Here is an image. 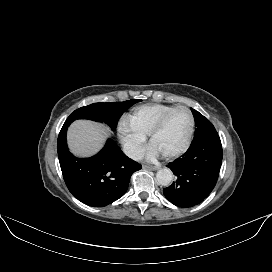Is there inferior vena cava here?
Listing matches in <instances>:
<instances>
[{
	"label": "inferior vena cava",
	"mask_w": 272,
	"mask_h": 272,
	"mask_svg": "<svg viewBox=\"0 0 272 272\" xmlns=\"http://www.w3.org/2000/svg\"><path fill=\"white\" fill-rule=\"evenodd\" d=\"M123 152L130 158L135 159V160H140L143 157V152L142 150L131 143H125L123 145Z\"/></svg>",
	"instance_id": "1"
}]
</instances>
